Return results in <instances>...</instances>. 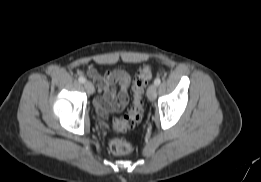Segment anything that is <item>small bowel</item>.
Returning <instances> with one entry per match:
<instances>
[{
	"instance_id": "1",
	"label": "small bowel",
	"mask_w": 261,
	"mask_h": 182,
	"mask_svg": "<svg viewBox=\"0 0 261 182\" xmlns=\"http://www.w3.org/2000/svg\"><path fill=\"white\" fill-rule=\"evenodd\" d=\"M94 80L100 96L94 100L95 107L100 116L109 113H118L125 109L129 103L130 76L124 70L115 69L101 75L95 68L87 70ZM117 89V91H115Z\"/></svg>"
}]
</instances>
